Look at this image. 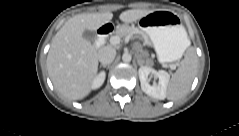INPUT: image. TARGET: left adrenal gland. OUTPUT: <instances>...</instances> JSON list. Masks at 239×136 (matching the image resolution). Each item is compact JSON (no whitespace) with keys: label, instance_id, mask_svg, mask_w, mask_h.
I'll list each match as a JSON object with an SVG mask.
<instances>
[{"label":"left adrenal gland","instance_id":"1","mask_svg":"<svg viewBox=\"0 0 239 136\" xmlns=\"http://www.w3.org/2000/svg\"><path fill=\"white\" fill-rule=\"evenodd\" d=\"M138 63L140 66H142L143 61H142L141 57H139Z\"/></svg>","mask_w":239,"mask_h":136}]
</instances>
